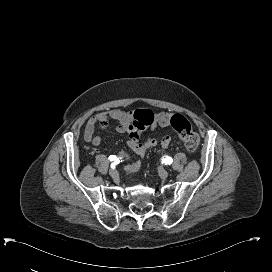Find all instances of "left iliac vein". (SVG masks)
<instances>
[{
  "label": "left iliac vein",
  "mask_w": 272,
  "mask_h": 272,
  "mask_svg": "<svg viewBox=\"0 0 272 272\" xmlns=\"http://www.w3.org/2000/svg\"><path fill=\"white\" fill-rule=\"evenodd\" d=\"M159 175H160L161 178L165 179V178L168 177L169 173H168V171L165 170V169H160V170H159Z\"/></svg>",
  "instance_id": "4c4485c4"
}]
</instances>
